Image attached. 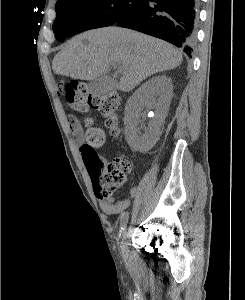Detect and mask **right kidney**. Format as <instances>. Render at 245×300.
<instances>
[{
    "label": "right kidney",
    "instance_id": "1",
    "mask_svg": "<svg viewBox=\"0 0 245 300\" xmlns=\"http://www.w3.org/2000/svg\"><path fill=\"white\" fill-rule=\"evenodd\" d=\"M173 95V85L169 77H152L141 85L128 99L125 106V138L136 151L150 150L159 139L160 127L167 116ZM154 109L148 127H140L143 109Z\"/></svg>",
    "mask_w": 245,
    "mask_h": 300
}]
</instances>
